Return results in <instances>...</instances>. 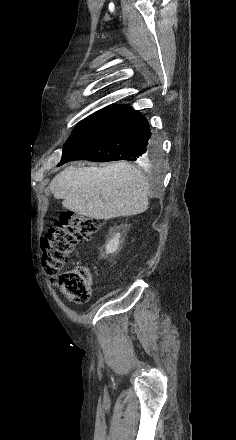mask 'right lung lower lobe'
<instances>
[{
    "label": "right lung lower lobe",
    "mask_w": 236,
    "mask_h": 440,
    "mask_svg": "<svg viewBox=\"0 0 236 440\" xmlns=\"http://www.w3.org/2000/svg\"><path fill=\"white\" fill-rule=\"evenodd\" d=\"M146 118L129 105L114 108L63 147L58 166L86 159L95 162L138 161L153 150Z\"/></svg>",
    "instance_id": "obj_1"
}]
</instances>
